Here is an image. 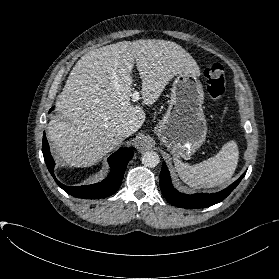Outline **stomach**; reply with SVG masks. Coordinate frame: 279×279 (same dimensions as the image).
Returning a JSON list of instances; mask_svg holds the SVG:
<instances>
[{"label":"stomach","mask_w":279,"mask_h":279,"mask_svg":"<svg viewBox=\"0 0 279 279\" xmlns=\"http://www.w3.org/2000/svg\"><path fill=\"white\" fill-rule=\"evenodd\" d=\"M203 103L204 89L196 75L177 73L169 107L154 128L159 140L175 157H190L205 141L207 122Z\"/></svg>","instance_id":"1"}]
</instances>
